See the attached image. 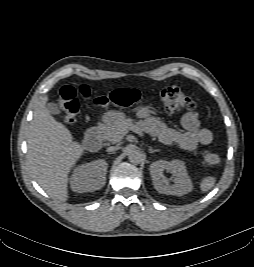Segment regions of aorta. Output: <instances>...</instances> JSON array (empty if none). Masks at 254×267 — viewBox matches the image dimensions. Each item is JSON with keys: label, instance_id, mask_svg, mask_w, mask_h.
Here are the masks:
<instances>
[{"label": "aorta", "instance_id": "obj_1", "mask_svg": "<svg viewBox=\"0 0 254 267\" xmlns=\"http://www.w3.org/2000/svg\"><path fill=\"white\" fill-rule=\"evenodd\" d=\"M144 154L135 146L128 148V159L133 164H139L143 161Z\"/></svg>", "mask_w": 254, "mask_h": 267}]
</instances>
